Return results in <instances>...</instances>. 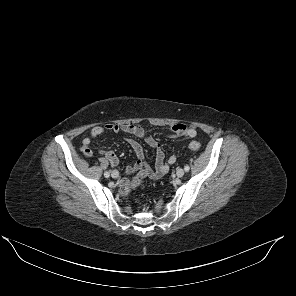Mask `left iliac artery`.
Wrapping results in <instances>:
<instances>
[{
  "label": "left iliac artery",
  "mask_w": 296,
  "mask_h": 296,
  "mask_svg": "<svg viewBox=\"0 0 296 296\" xmlns=\"http://www.w3.org/2000/svg\"><path fill=\"white\" fill-rule=\"evenodd\" d=\"M184 170H185L186 172H188V171L190 170L189 165H186V166L184 167Z\"/></svg>",
  "instance_id": "1"
}]
</instances>
